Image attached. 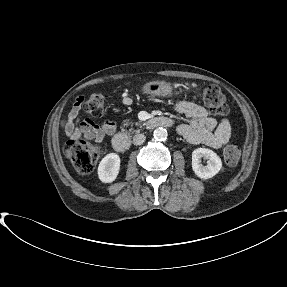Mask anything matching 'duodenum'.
<instances>
[{
	"label": "duodenum",
	"instance_id": "1",
	"mask_svg": "<svg viewBox=\"0 0 287 287\" xmlns=\"http://www.w3.org/2000/svg\"><path fill=\"white\" fill-rule=\"evenodd\" d=\"M172 120L164 116H153L147 121V128L155 129L157 127H170ZM112 146L118 152H124L129 149L130 140L125 134H116L112 139Z\"/></svg>",
	"mask_w": 287,
	"mask_h": 287
}]
</instances>
